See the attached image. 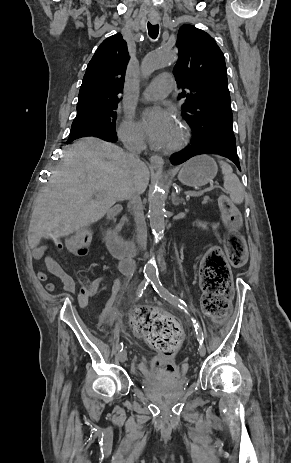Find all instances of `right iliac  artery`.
<instances>
[{"label": "right iliac artery", "instance_id": "obj_1", "mask_svg": "<svg viewBox=\"0 0 291 463\" xmlns=\"http://www.w3.org/2000/svg\"><path fill=\"white\" fill-rule=\"evenodd\" d=\"M151 281V277H145V279L140 283L138 289H137V299H139L143 291L146 289L148 283ZM118 350H123V343L119 344L117 347Z\"/></svg>", "mask_w": 291, "mask_h": 463}]
</instances>
